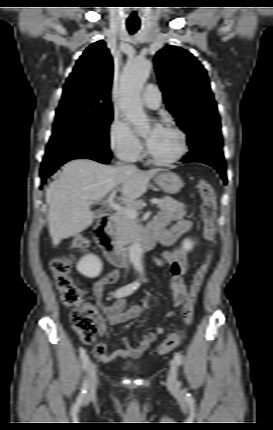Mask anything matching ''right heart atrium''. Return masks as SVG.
Segmentation results:
<instances>
[{
  "label": "right heart atrium",
  "instance_id": "obj_1",
  "mask_svg": "<svg viewBox=\"0 0 273 430\" xmlns=\"http://www.w3.org/2000/svg\"><path fill=\"white\" fill-rule=\"evenodd\" d=\"M110 147L122 160L135 161L140 158L143 147L130 127L119 119H114L109 131Z\"/></svg>",
  "mask_w": 273,
  "mask_h": 430
}]
</instances>
